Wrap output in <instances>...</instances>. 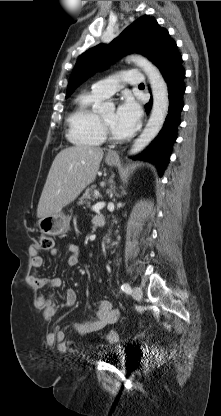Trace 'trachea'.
Here are the masks:
<instances>
[{
    "label": "trachea",
    "instance_id": "1",
    "mask_svg": "<svg viewBox=\"0 0 221 416\" xmlns=\"http://www.w3.org/2000/svg\"><path fill=\"white\" fill-rule=\"evenodd\" d=\"M142 86H144V84H143V83H141V84L139 85V87H142Z\"/></svg>",
    "mask_w": 221,
    "mask_h": 416
}]
</instances>
